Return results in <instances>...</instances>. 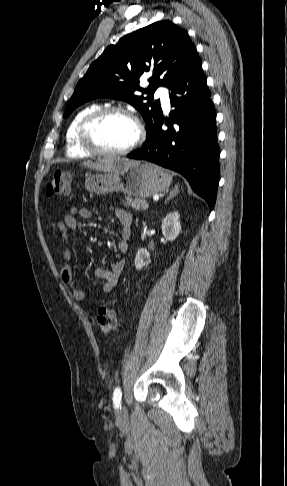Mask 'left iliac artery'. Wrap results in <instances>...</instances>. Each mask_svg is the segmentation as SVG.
Listing matches in <instances>:
<instances>
[{"instance_id":"obj_1","label":"left iliac artery","mask_w":287,"mask_h":486,"mask_svg":"<svg viewBox=\"0 0 287 486\" xmlns=\"http://www.w3.org/2000/svg\"><path fill=\"white\" fill-rule=\"evenodd\" d=\"M121 396H122V393H121L120 387H116L114 392H113V403H114V407L116 409H118L120 407Z\"/></svg>"}]
</instances>
